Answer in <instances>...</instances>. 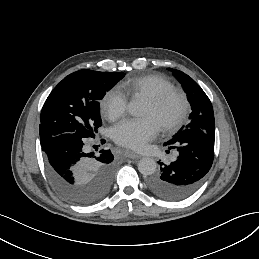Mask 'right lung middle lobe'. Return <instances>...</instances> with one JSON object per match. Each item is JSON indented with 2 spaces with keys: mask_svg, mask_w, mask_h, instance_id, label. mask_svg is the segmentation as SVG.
I'll use <instances>...</instances> for the list:
<instances>
[{
  "mask_svg": "<svg viewBox=\"0 0 259 259\" xmlns=\"http://www.w3.org/2000/svg\"><path fill=\"white\" fill-rule=\"evenodd\" d=\"M124 73L80 70L65 77L46 99L40 116V141L62 134L95 138L102 125L99 101Z\"/></svg>",
  "mask_w": 259,
  "mask_h": 259,
  "instance_id": "1",
  "label": "right lung middle lobe"
}]
</instances>
